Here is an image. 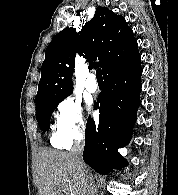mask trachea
I'll list each match as a JSON object with an SVG mask.
<instances>
[{"label": "trachea", "mask_w": 178, "mask_h": 195, "mask_svg": "<svg viewBox=\"0 0 178 195\" xmlns=\"http://www.w3.org/2000/svg\"><path fill=\"white\" fill-rule=\"evenodd\" d=\"M96 78H97V81L98 82H102V71H101V69H97L96 70Z\"/></svg>", "instance_id": "1"}]
</instances>
